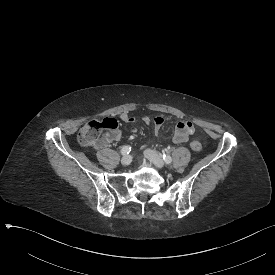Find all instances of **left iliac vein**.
Instances as JSON below:
<instances>
[{
  "label": "left iliac vein",
  "instance_id": "left-iliac-vein-1",
  "mask_svg": "<svg viewBox=\"0 0 275 275\" xmlns=\"http://www.w3.org/2000/svg\"><path fill=\"white\" fill-rule=\"evenodd\" d=\"M144 155L157 168L162 169L164 167L163 159L156 151L152 149H146L144 151Z\"/></svg>",
  "mask_w": 275,
  "mask_h": 275
}]
</instances>
